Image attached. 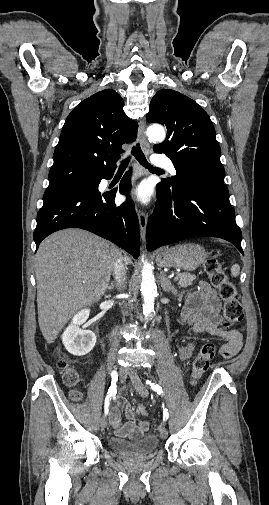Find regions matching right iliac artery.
Returning <instances> with one entry per match:
<instances>
[{
    "label": "right iliac artery",
    "instance_id": "right-iliac-artery-1",
    "mask_svg": "<svg viewBox=\"0 0 269 505\" xmlns=\"http://www.w3.org/2000/svg\"><path fill=\"white\" fill-rule=\"evenodd\" d=\"M111 377H112L111 386H110V388L108 390L107 396L105 398V404H104V413H105V415L108 414L111 397H114L116 395V392H117V390H116V382L118 380V374H117V372L115 370L112 371Z\"/></svg>",
    "mask_w": 269,
    "mask_h": 505
}]
</instances>
